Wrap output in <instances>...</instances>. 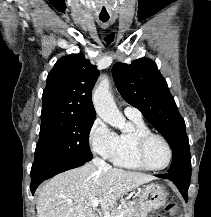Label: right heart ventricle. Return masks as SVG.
<instances>
[{
	"label": "right heart ventricle",
	"instance_id": "obj_1",
	"mask_svg": "<svg viewBox=\"0 0 211 217\" xmlns=\"http://www.w3.org/2000/svg\"><path fill=\"white\" fill-rule=\"evenodd\" d=\"M132 122L134 129L131 132H125L118 135L116 150L111 158L114 165L134 169L145 170L146 168L140 163L137 152V138L145 133L151 132L142 118L128 117Z\"/></svg>",
	"mask_w": 211,
	"mask_h": 217
}]
</instances>
